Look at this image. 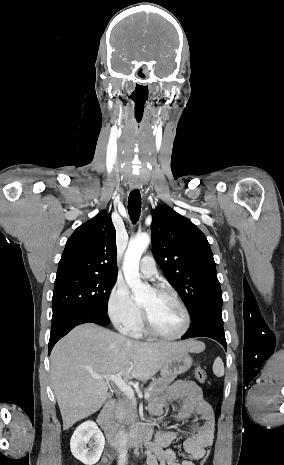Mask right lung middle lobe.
Wrapping results in <instances>:
<instances>
[{
  "mask_svg": "<svg viewBox=\"0 0 284 465\" xmlns=\"http://www.w3.org/2000/svg\"><path fill=\"white\" fill-rule=\"evenodd\" d=\"M116 279L89 275L56 278L52 298L53 317L74 308L107 313L108 298Z\"/></svg>",
  "mask_w": 284,
  "mask_h": 465,
  "instance_id": "obj_1",
  "label": "right lung middle lobe"
}]
</instances>
